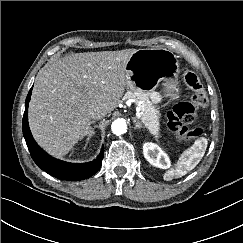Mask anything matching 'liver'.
Instances as JSON below:
<instances>
[{
  "label": "liver",
  "instance_id": "liver-1",
  "mask_svg": "<svg viewBox=\"0 0 243 243\" xmlns=\"http://www.w3.org/2000/svg\"><path fill=\"white\" fill-rule=\"evenodd\" d=\"M136 51L74 53L41 70L29 103V126L38 144L62 157L86 136L92 107L113 111L125 92L127 62Z\"/></svg>",
  "mask_w": 243,
  "mask_h": 243
}]
</instances>
